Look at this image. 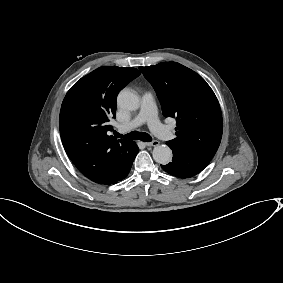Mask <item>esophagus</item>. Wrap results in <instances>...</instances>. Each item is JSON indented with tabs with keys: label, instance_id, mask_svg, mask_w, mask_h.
Returning <instances> with one entry per match:
<instances>
[{
	"label": "esophagus",
	"instance_id": "obj_1",
	"mask_svg": "<svg viewBox=\"0 0 283 283\" xmlns=\"http://www.w3.org/2000/svg\"><path fill=\"white\" fill-rule=\"evenodd\" d=\"M160 142L158 140H154L152 142H147L146 146H158Z\"/></svg>",
	"mask_w": 283,
	"mask_h": 283
}]
</instances>
